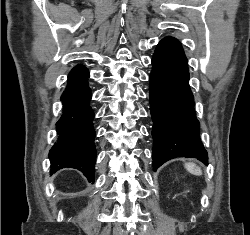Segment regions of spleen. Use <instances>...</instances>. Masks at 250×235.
<instances>
[{"instance_id": "obj_1", "label": "spleen", "mask_w": 250, "mask_h": 235, "mask_svg": "<svg viewBox=\"0 0 250 235\" xmlns=\"http://www.w3.org/2000/svg\"><path fill=\"white\" fill-rule=\"evenodd\" d=\"M185 168L191 174H194V175H201L202 174L201 169L194 163H186Z\"/></svg>"}]
</instances>
